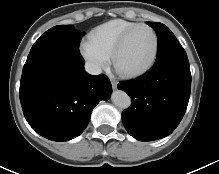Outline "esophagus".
Listing matches in <instances>:
<instances>
[{"instance_id":"1","label":"esophagus","mask_w":219,"mask_h":174,"mask_svg":"<svg viewBox=\"0 0 219 174\" xmlns=\"http://www.w3.org/2000/svg\"><path fill=\"white\" fill-rule=\"evenodd\" d=\"M111 84L113 89L117 88V81H115L114 79L111 80Z\"/></svg>"}]
</instances>
